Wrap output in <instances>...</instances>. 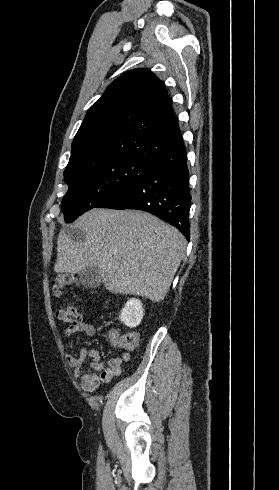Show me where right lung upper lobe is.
Instances as JSON below:
<instances>
[{
	"label": "right lung upper lobe",
	"instance_id": "1",
	"mask_svg": "<svg viewBox=\"0 0 279 490\" xmlns=\"http://www.w3.org/2000/svg\"><path fill=\"white\" fill-rule=\"evenodd\" d=\"M181 144L165 85L150 70L134 69L114 80L87 111L64 174L100 159L153 162Z\"/></svg>",
	"mask_w": 279,
	"mask_h": 490
}]
</instances>
